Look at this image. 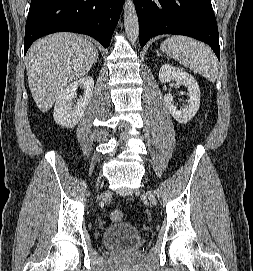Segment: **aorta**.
I'll use <instances>...</instances> for the list:
<instances>
[{"label":"aorta","mask_w":253,"mask_h":271,"mask_svg":"<svg viewBox=\"0 0 253 271\" xmlns=\"http://www.w3.org/2000/svg\"><path fill=\"white\" fill-rule=\"evenodd\" d=\"M123 10L125 32L129 41L134 44L139 37V21L133 0H126Z\"/></svg>","instance_id":"1"}]
</instances>
